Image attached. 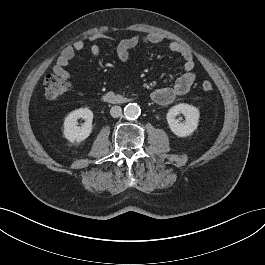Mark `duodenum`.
<instances>
[{
  "mask_svg": "<svg viewBox=\"0 0 265 265\" xmlns=\"http://www.w3.org/2000/svg\"><path fill=\"white\" fill-rule=\"evenodd\" d=\"M102 100L105 103H110V104H121V103H125L127 101V99L121 95H118L115 92H108L105 93L102 96Z\"/></svg>",
  "mask_w": 265,
  "mask_h": 265,
  "instance_id": "410a0bca",
  "label": "duodenum"
}]
</instances>
